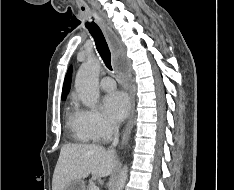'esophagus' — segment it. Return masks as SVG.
<instances>
[{
	"label": "esophagus",
	"mask_w": 234,
	"mask_h": 190,
	"mask_svg": "<svg viewBox=\"0 0 234 190\" xmlns=\"http://www.w3.org/2000/svg\"><path fill=\"white\" fill-rule=\"evenodd\" d=\"M101 26L103 28V31L105 33V36H106L109 44L111 45L113 50H115L118 46V41H117V38H116L114 32L104 23H102ZM129 80H130V76H129ZM129 90H130V97H131V112H130V117H129L128 123H127V125L124 129V132H123L122 141H121L122 145L126 144L128 139H129V136H130V133H131V130L133 127V120H134L135 96H134V92H133V89L131 87V84H130Z\"/></svg>",
	"instance_id": "esophagus-1"
}]
</instances>
